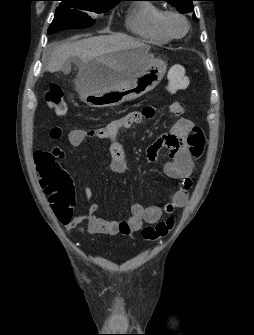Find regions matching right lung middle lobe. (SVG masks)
I'll use <instances>...</instances> for the list:
<instances>
[{"label":"right lung middle lobe","mask_w":254,"mask_h":335,"mask_svg":"<svg viewBox=\"0 0 254 335\" xmlns=\"http://www.w3.org/2000/svg\"><path fill=\"white\" fill-rule=\"evenodd\" d=\"M55 17L48 29V34L71 28H86L95 21L89 12L97 14L106 12L117 3L92 0H60Z\"/></svg>","instance_id":"right-lung-middle-lobe-1"}]
</instances>
